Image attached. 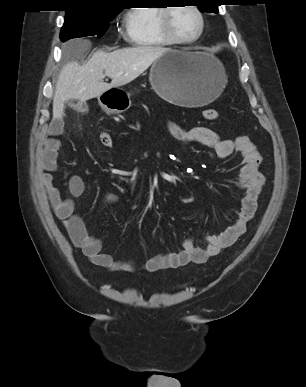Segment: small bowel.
<instances>
[{
	"instance_id": "c3829d8e",
	"label": "small bowel",
	"mask_w": 306,
	"mask_h": 387,
	"mask_svg": "<svg viewBox=\"0 0 306 387\" xmlns=\"http://www.w3.org/2000/svg\"><path fill=\"white\" fill-rule=\"evenodd\" d=\"M64 123L62 119L53 121L48 130L40 150L39 170L40 181L46 193L54 214L61 220L74 245L82 250L91 263L107 268L111 271L134 273L139 267L130 260H115L111 255L102 252L101 240L90 235L82 218L75 213L74 199L85 192V182L79 175H73L68 181L71 197H63L60 190L53 184V173L58 169V149L60 142L57 138L62 133ZM171 134L183 145L199 143L212 149L218 158H227L234 152L239 153L243 165L240 169L238 186L243 195L236 210L234 223L218 235H207L205 246H198L193 238L184 240L182 250L178 252L159 253L147 260L140 269L147 272H157L168 268H178L188 264H203L208 259L230 247L246 232L248 222L253 218L257 209L258 196L265 179L259 170L261 155L247 136L235 140H223L212 129L196 126L185 129L174 122L169 123ZM119 201L115 193H107L104 204L109 205Z\"/></svg>"
}]
</instances>
